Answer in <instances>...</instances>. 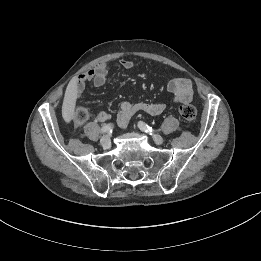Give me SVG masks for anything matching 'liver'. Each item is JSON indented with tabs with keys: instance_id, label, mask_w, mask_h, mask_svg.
<instances>
[{
	"instance_id": "obj_1",
	"label": "liver",
	"mask_w": 261,
	"mask_h": 261,
	"mask_svg": "<svg viewBox=\"0 0 261 261\" xmlns=\"http://www.w3.org/2000/svg\"><path fill=\"white\" fill-rule=\"evenodd\" d=\"M77 96V81L72 79L66 88L62 105V115L66 121H70L74 117Z\"/></svg>"
}]
</instances>
